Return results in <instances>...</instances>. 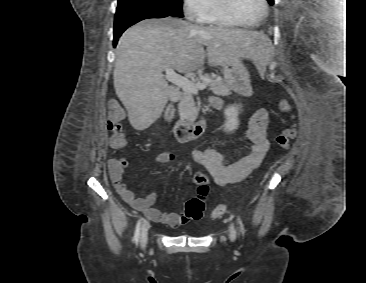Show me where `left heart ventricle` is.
<instances>
[{"mask_svg": "<svg viewBox=\"0 0 366 283\" xmlns=\"http://www.w3.org/2000/svg\"><path fill=\"white\" fill-rule=\"evenodd\" d=\"M238 16L246 23L255 22L263 13L261 0H235Z\"/></svg>", "mask_w": 366, "mask_h": 283, "instance_id": "1", "label": "left heart ventricle"}]
</instances>
